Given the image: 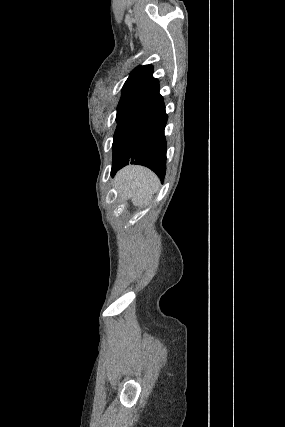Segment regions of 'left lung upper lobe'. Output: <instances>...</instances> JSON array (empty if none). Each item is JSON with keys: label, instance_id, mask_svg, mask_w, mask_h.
<instances>
[{"label": "left lung upper lobe", "instance_id": "1", "mask_svg": "<svg viewBox=\"0 0 285 427\" xmlns=\"http://www.w3.org/2000/svg\"><path fill=\"white\" fill-rule=\"evenodd\" d=\"M152 74V65L138 66L130 73L122 88V97L117 107L113 154L121 134L159 92V82Z\"/></svg>", "mask_w": 285, "mask_h": 427}]
</instances>
